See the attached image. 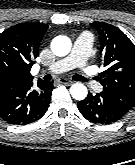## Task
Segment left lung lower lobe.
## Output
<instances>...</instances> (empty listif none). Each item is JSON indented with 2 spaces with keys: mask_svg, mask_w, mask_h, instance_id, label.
I'll return each instance as SVG.
<instances>
[{
  "mask_svg": "<svg viewBox=\"0 0 135 165\" xmlns=\"http://www.w3.org/2000/svg\"><path fill=\"white\" fill-rule=\"evenodd\" d=\"M81 114L94 123L109 124L124 117L129 110L120 105L112 96L106 93H98L88 96L78 102Z\"/></svg>",
  "mask_w": 135,
  "mask_h": 165,
  "instance_id": "1",
  "label": "left lung lower lobe"
}]
</instances>
